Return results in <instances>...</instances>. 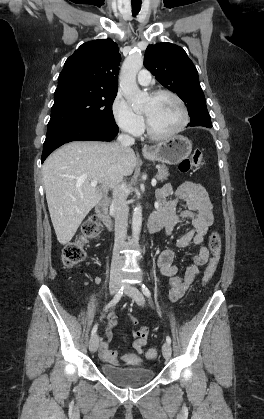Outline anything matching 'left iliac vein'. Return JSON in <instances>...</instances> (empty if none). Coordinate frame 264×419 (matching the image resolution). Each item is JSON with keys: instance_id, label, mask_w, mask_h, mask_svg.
Segmentation results:
<instances>
[{"instance_id": "1", "label": "left iliac vein", "mask_w": 264, "mask_h": 419, "mask_svg": "<svg viewBox=\"0 0 264 419\" xmlns=\"http://www.w3.org/2000/svg\"><path fill=\"white\" fill-rule=\"evenodd\" d=\"M124 292L127 296L131 297L138 305L144 304V296L135 286L131 284H126ZM162 353L165 359L171 357L172 349L168 342L164 343L162 346Z\"/></svg>"}]
</instances>
